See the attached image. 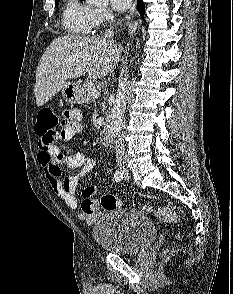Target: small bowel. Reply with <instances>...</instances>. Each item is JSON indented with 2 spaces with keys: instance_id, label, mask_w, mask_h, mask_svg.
I'll use <instances>...</instances> for the list:
<instances>
[{
  "instance_id": "1",
  "label": "small bowel",
  "mask_w": 233,
  "mask_h": 294,
  "mask_svg": "<svg viewBox=\"0 0 233 294\" xmlns=\"http://www.w3.org/2000/svg\"><path fill=\"white\" fill-rule=\"evenodd\" d=\"M65 121H60L64 131L59 134L58 140L68 142L76 134L82 132L81 113L76 109L68 110L64 113ZM50 154L51 157H47ZM38 161L42 166L52 190L63 200V202L72 210H77L79 202L76 197V188L80 176L86 175L95 167V160L86 156L82 152L64 155L60 150L53 146L51 149H42L38 155ZM61 166L71 169H77V174L61 177ZM98 187L90 185L84 188L83 202L79 216L88 223H93L99 216L100 204L93 198Z\"/></svg>"
}]
</instances>
